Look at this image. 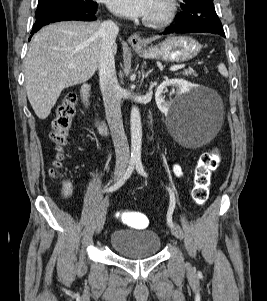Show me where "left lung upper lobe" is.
Masks as SVG:
<instances>
[{"instance_id":"obj_1","label":"left lung upper lobe","mask_w":267,"mask_h":301,"mask_svg":"<svg viewBox=\"0 0 267 301\" xmlns=\"http://www.w3.org/2000/svg\"><path fill=\"white\" fill-rule=\"evenodd\" d=\"M182 12L176 15V24L202 25L218 33H224L213 0H182Z\"/></svg>"}]
</instances>
